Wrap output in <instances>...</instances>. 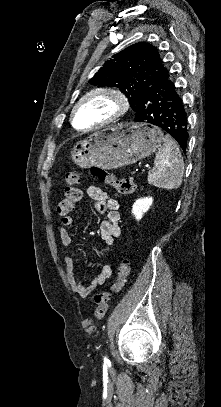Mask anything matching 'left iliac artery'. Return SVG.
<instances>
[{"mask_svg": "<svg viewBox=\"0 0 221 407\" xmlns=\"http://www.w3.org/2000/svg\"><path fill=\"white\" fill-rule=\"evenodd\" d=\"M107 361H108V359L105 357V358H104V362H107Z\"/></svg>", "mask_w": 221, "mask_h": 407, "instance_id": "left-iliac-artery-1", "label": "left iliac artery"}]
</instances>
